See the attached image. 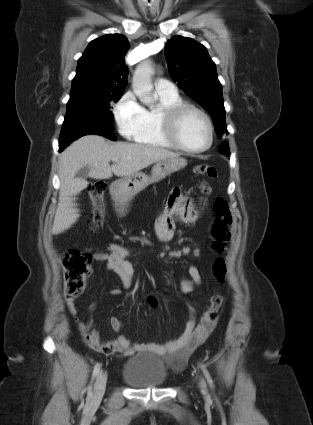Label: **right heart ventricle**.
I'll return each instance as SVG.
<instances>
[{
    "instance_id": "e07e8e85",
    "label": "right heart ventricle",
    "mask_w": 313,
    "mask_h": 425,
    "mask_svg": "<svg viewBox=\"0 0 313 425\" xmlns=\"http://www.w3.org/2000/svg\"><path fill=\"white\" fill-rule=\"evenodd\" d=\"M160 107L157 109L146 110L147 123L145 129L135 138V141L151 147H160L168 149H177L170 143L163 134L160 113L163 109L173 107L182 103L177 95L167 96L157 93Z\"/></svg>"
}]
</instances>
